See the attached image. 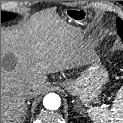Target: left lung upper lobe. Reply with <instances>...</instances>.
I'll list each match as a JSON object with an SVG mask.
<instances>
[{"label":"left lung upper lobe","instance_id":"obj_1","mask_svg":"<svg viewBox=\"0 0 123 123\" xmlns=\"http://www.w3.org/2000/svg\"><path fill=\"white\" fill-rule=\"evenodd\" d=\"M116 23L118 26V34L123 40V21L121 19L117 18Z\"/></svg>","mask_w":123,"mask_h":123}]
</instances>
